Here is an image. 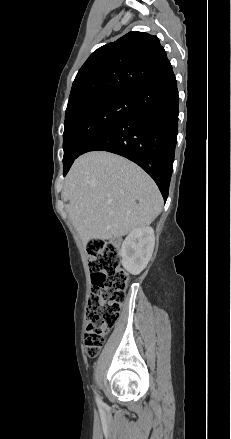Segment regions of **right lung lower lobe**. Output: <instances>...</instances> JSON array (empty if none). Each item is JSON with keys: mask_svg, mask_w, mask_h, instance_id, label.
Instances as JSON below:
<instances>
[{"mask_svg": "<svg viewBox=\"0 0 231 439\" xmlns=\"http://www.w3.org/2000/svg\"><path fill=\"white\" fill-rule=\"evenodd\" d=\"M137 109L104 127L81 147L108 151L138 164L156 182L166 201L178 133L179 97L173 71L134 93ZM72 163L64 168V176Z\"/></svg>", "mask_w": 231, "mask_h": 439, "instance_id": "98d812e1", "label": "right lung lower lobe"}]
</instances>
